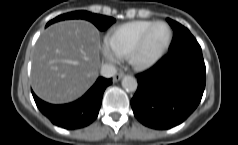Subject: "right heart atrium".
Returning a JSON list of instances; mask_svg holds the SVG:
<instances>
[{
  "instance_id": "obj_1",
  "label": "right heart atrium",
  "mask_w": 238,
  "mask_h": 145,
  "mask_svg": "<svg viewBox=\"0 0 238 145\" xmlns=\"http://www.w3.org/2000/svg\"><path fill=\"white\" fill-rule=\"evenodd\" d=\"M107 58H108L109 60H112V59H113V57H112L111 54H107Z\"/></svg>"
}]
</instances>
